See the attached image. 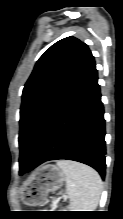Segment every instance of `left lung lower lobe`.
Here are the masks:
<instances>
[{
    "instance_id": "obj_1",
    "label": "left lung lower lobe",
    "mask_w": 123,
    "mask_h": 219,
    "mask_svg": "<svg viewBox=\"0 0 123 219\" xmlns=\"http://www.w3.org/2000/svg\"><path fill=\"white\" fill-rule=\"evenodd\" d=\"M105 120L95 64L59 106L29 164L20 175L49 161L67 159L93 167L105 177Z\"/></svg>"
}]
</instances>
